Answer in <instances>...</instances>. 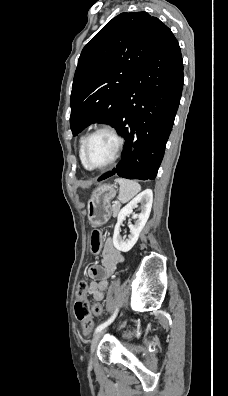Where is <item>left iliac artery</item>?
<instances>
[{"label": "left iliac artery", "instance_id": "44dca946", "mask_svg": "<svg viewBox=\"0 0 228 396\" xmlns=\"http://www.w3.org/2000/svg\"><path fill=\"white\" fill-rule=\"evenodd\" d=\"M118 313V309L115 310V312L113 313V315L106 320L105 322H103L102 324H100L96 329H95V333L101 331L102 329H104L106 326H108L110 323H112L115 319V317L117 316Z\"/></svg>", "mask_w": 228, "mask_h": 396}]
</instances>
